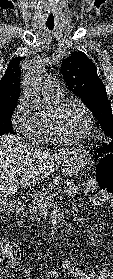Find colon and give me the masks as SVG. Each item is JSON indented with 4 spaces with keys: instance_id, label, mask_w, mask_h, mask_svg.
<instances>
[{
    "instance_id": "1",
    "label": "colon",
    "mask_w": 113,
    "mask_h": 279,
    "mask_svg": "<svg viewBox=\"0 0 113 279\" xmlns=\"http://www.w3.org/2000/svg\"><path fill=\"white\" fill-rule=\"evenodd\" d=\"M99 163L96 182L101 192L113 195V144L101 145L96 153ZM21 252L17 248H5L0 242V277L7 264L18 263Z\"/></svg>"
}]
</instances>
